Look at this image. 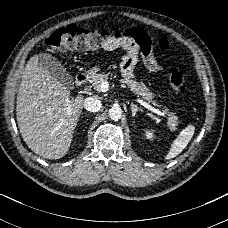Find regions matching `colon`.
Masks as SVG:
<instances>
[{"mask_svg":"<svg viewBox=\"0 0 228 228\" xmlns=\"http://www.w3.org/2000/svg\"><path fill=\"white\" fill-rule=\"evenodd\" d=\"M122 35V32L103 33L97 30L67 26L54 31L51 36L39 47L47 51L60 50H97L103 45H115ZM160 47H166L165 42L159 43ZM170 86L176 94H182L185 90V76L183 69L175 67L170 72Z\"/></svg>","mask_w":228,"mask_h":228,"instance_id":"colon-1","label":"colon"}]
</instances>
